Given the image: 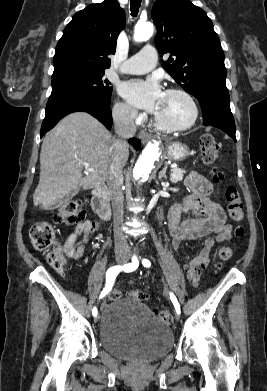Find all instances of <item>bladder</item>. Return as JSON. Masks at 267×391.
<instances>
[{
    "label": "bladder",
    "mask_w": 267,
    "mask_h": 391,
    "mask_svg": "<svg viewBox=\"0 0 267 391\" xmlns=\"http://www.w3.org/2000/svg\"><path fill=\"white\" fill-rule=\"evenodd\" d=\"M102 348L131 361L148 362L166 355L173 346L170 327L143 302L116 299L104 309L99 323Z\"/></svg>",
    "instance_id": "31cf9c89"
}]
</instances>
